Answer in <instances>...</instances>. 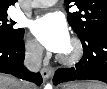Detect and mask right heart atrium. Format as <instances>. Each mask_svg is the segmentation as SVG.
Listing matches in <instances>:
<instances>
[{"label":"right heart atrium","mask_w":107,"mask_h":89,"mask_svg":"<svg viewBox=\"0 0 107 89\" xmlns=\"http://www.w3.org/2000/svg\"><path fill=\"white\" fill-rule=\"evenodd\" d=\"M25 54L30 61L38 62L42 58L43 51L36 40L28 37L25 41Z\"/></svg>","instance_id":"right-heart-atrium-1"}]
</instances>
